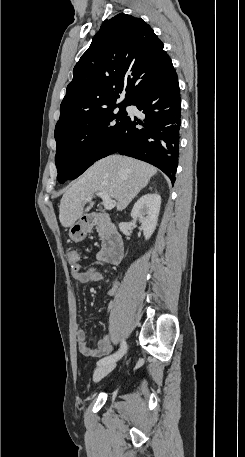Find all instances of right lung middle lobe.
<instances>
[{
  "label": "right lung middle lobe",
  "instance_id": "1",
  "mask_svg": "<svg viewBox=\"0 0 245 457\" xmlns=\"http://www.w3.org/2000/svg\"><path fill=\"white\" fill-rule=\"evenodd\" d=\"M128 102L111 103L55 128V162L60 183L77 178L96 160L111 154L127 117Z\"/></svg>",
  "mask_w": 245,
  "mask_h": 457
}]
</instances>
